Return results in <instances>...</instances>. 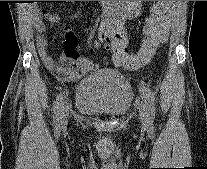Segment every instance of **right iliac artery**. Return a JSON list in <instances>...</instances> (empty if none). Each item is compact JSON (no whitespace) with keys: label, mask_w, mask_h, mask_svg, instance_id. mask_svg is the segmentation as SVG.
<instances>
[{"label":"right iliac artery","mask_w":207,"mask_h":169,"mask_svg":"<svg viewBox=\"0 0 207 169\" xmlns=\"http://www.w3.org/2000/svg\"><path fill=\"white\" fill-rule=\"evenodd\" d=\"M63 97L61 94H59L57 96V99H56V102H55V105H54V122H55V125L57 127L60 126V122H61V118H62V113H63Z\"/></svg>","instance_id":"right-iliac-artery-1"}]
</instances>
